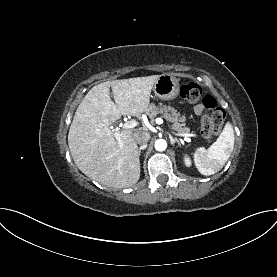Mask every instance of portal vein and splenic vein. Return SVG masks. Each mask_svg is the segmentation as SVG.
<instances>
[{
  "mask_svg": "<svg viewBox=\"0 0 277 277\" xmlns=\"http://www.w3.org/2000/svg\"><path fill=\"white\" fill-rule=\"evenodd\" d=\"M155 122H156L157 124H159V125H161V124L164 123V121H163L162 118H156V119H155ZM138 124H139V123H138L136 120H130V121L125 122V123L122 125V128H123V129H132V128L138 126ZM176 135H177V136L184 137V140H185V141H187V140L189 139V137H195V136H196V134H193V133H188V134H180V133H178V134H176ZM114 136H115L116 138H120V131L116 130V131L114 132Z\"/></svg>",
  "mask_w": 277,
  "mask_h": 277,
  "instance_id": "18ae733b",
  "label": "portal vein and splenic vein"
}]
</instances>
